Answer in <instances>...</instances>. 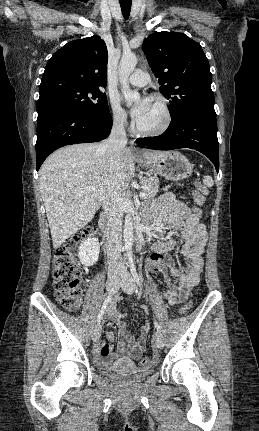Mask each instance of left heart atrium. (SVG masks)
Segmentation results:
<instances>
[{"mask_svg": "<svg viewBox=\"0 0 259 431\" xmlns=\"http://www.w3.org/2000/svg\"><path fill=\"white\" fill-rule=\"evenodd\" d=\"M150 105V99L148 97L141 98L130 110L132 118L137 122L146 113Z\"/></svg>", "mask_w": 259, "mask_h": 431, "instance_id": "39dd6f15", "label": "left heart atrium"}]
</instances>
